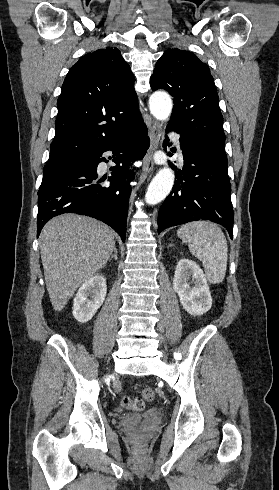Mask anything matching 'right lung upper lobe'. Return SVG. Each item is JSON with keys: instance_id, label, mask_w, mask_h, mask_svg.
<instances>
[{"instance_id": "obj_1", "label": "right lung upper lobe", "mask_w": 279, "mask_h": 490, "mask_svg": "<svg viewBox=\"0 0 279 490\" xmlns=\"http://www.w3.org/2000/svg\"><path fill=\"white\" fill-rule=\"evenodd\" d=\"M57 106L47 164L79 161L144 124L134 76L117 48L81 57L66 76Z\"/></svg>"}]
</instances>
